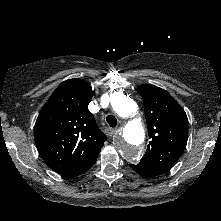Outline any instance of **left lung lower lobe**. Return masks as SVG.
Wrapping results in <instances>:
<instances>
[{
  "mask_svg": "<svg viewBox=\"0 0 221 221\" xmlns=\"http://www.w3.org/2000/svg\"><path fill=\"white\" fill-rule=\"evenodd\" d=\"M135 172H137L138 174L144 176V177H147V178H151V177H154V176H157L158 174L150 169L149 167L143 165V164H137V165H134V164H130L129 165Z\"/></svg>",
  "mask_w": 221,
  "mask_h": 221,
  "instance_id": "1",
  "label": "left lung lower lobe"
}]
</instances>
